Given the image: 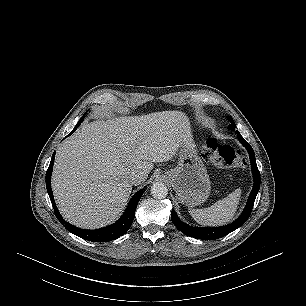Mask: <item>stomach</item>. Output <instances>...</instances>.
<instances>
[{"instance_id": "1", "label": "stomach", "mask_w": 306, "mask_h": 306, "mask_svg": "<svg viewBox=\"0 0 306 306\" xmlns=\"http://www.w3.org/2000/svg\"><path fill=\"white\" fill-rule=\"evenodd\" d=\"M165 176L178 201L188 207L200 205L210 194L209 175L192 137L180 146L177 167L166 171Z\"/></svg>"}]
</instances>
